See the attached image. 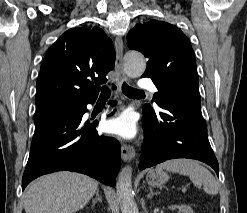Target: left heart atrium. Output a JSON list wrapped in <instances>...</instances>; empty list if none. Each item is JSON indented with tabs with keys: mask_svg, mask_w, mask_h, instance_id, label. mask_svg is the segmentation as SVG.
I'll list each match as a JSON object with an SVG mask.
<instances>
[{
	"mask_svg": "<svg viewBox=\"0 0 247 213\" xmlns=\"http://www.w3.org/2000/svg\"><path fill=\"white\" fill-rule=\"evenodd\" d=\"M106 132L124 139H131L136 134V124L133 116L128 113L107 121L104 124Z\"/></svg>",
	"mask_w": 247,
	"mask_h": 213,
	"instance_id": "left-heart-atrium-1",
	"label": "left heart atrium"
}]
</instances>
